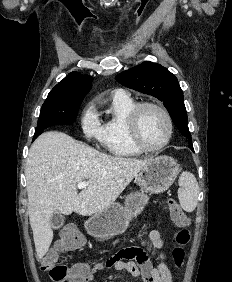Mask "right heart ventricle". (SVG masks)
<instances>
[{"mask_svg":"<svg viewBox=\"0 0 232 282\" xmlns=\"http://www.w3.org/2000/svg\"><path fill=\"white\" fill-rule=\"evenodd\" d=\"M135 105L136 102L128 94L114 93L111 96L100 141L115 156L132 157L143 152L132 143L127 128V116Z\"/></svg>","mask_w":232,"mask_h":282,"instance_id":"1","label":"right heart ventricle"}]
</instances>
